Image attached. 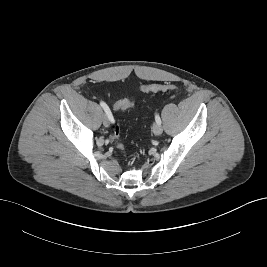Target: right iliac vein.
I'll list each match as a JSON object with an SVG mask.
<instances>
[{"instance_id":"right-iliac-vein-1","label":"right iliac vein","mask_w":267,"mask_h":267,"mask_svg":"<svg viewBox=\"0 0 267 267\" xmlns=\"http://www.w3.org/2000/svg\"><path fill=\"white\" fill-rule=\"evenodd\" d=\"M102 121H103V125L105 127H109L110 121H109V118H108V116L106 114L103 115Z\"/></svg>"}]
</instances>
